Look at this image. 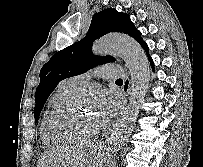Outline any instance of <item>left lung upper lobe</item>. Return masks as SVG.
I'll use <instances>...</instances> for the list:
<instances>
[{
    "mask_svg": "<svg viewBox=\"0 0 203 167\" xmlns=\"http://www.w3.org/2000/svg\"><path fill=\"white\" fill-rule=\"evenodd\" d=\"M110 32L128 34L141 45L144 43L141 33L128 14L117 12L112 8L94 14L86 36L79 42L55 53L41 68L40 83L35 94V122L39 119L44 103L61 80L85 73L97 65L115 61L112 56L100 57L91 52L93 41Z\"/></svg>",
    "mask_w": 203,
    "mask_h": 167,
    "instance_id": "1",
    "label": "left lung upper lobe"
}]
</instances>
